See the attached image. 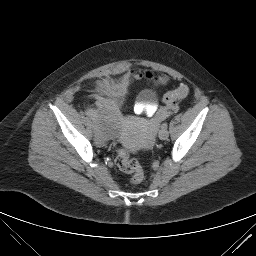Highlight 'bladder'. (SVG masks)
I'll return each instance as SVG.
<instances>
[{
    "mask_svg": "<svg viewBox=\"0 0 256 256\" xmlns=\"http://www.w3.org/2000/svg\"><path fill=\"white\" fill-rule=\"evenodd\" d=\"M155 98L156 93L150 89L144 90L140 95L143 102H151ZM92 111L96 118L95 124L104 139L115 140L120 137L119 117L114 110L102 108Z\"/></svg>",
    "mask_w": 256,
    "mask_h": 256,
    "instance_id": "obj_1",
    "label": "bladder"
}]
</instances>
